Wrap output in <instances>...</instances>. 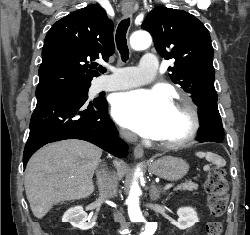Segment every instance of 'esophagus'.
<instances>
[{"label":"esophagus","instance_id":"1","mask_svg":"<svg viewBox=\"0 0 250 235\" xmlns=\"http://www.w3.org/2000/svg\"><path fill=\"white\" fill-rule=\"evenodd\" d=\"M122 12L126 17L131 15L133 13L132 5H130V4L123 5ZM133 153H134V157L136 159H139V158H141L143 156L144 151H143V148L140 145H137V146H135Z\"/></svg>","mask_w":250,"mask_h":235}]
</instances>
